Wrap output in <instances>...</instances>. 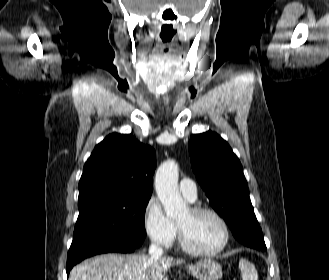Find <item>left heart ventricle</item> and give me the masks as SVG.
<instances>
[{
	"mask_svg": "<svg viewBox=\"0 0 329 280\" xmlns=\"http://www.w3.org/2000/svg\"><path fill=\"white\" fill-rule=\"evenodd\" d=\"M177 223L181 226L188 243L196 249L214 250L223 240L221 226L208 214L193 215L188 209Z\"/></svg>",
	"mask_w": 329,
	"mask_h": 280,
	"instance_id": "1",
	"label": "left heart ventricle"
}]
</instances>
